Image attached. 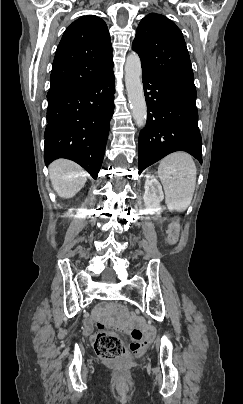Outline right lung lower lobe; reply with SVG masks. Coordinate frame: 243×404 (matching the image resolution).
<instances>
[{"label":"right lung lower lobe","mask_w":243,"mask_h":404,"mask_svg":"<svg viewBox=\"0 0 243 404\" xmlns=\"http://www.w3.org/2000/svg\"><path fill=\"white\" fill-rule=\"evenodd\" d=\"M113 70L82 87L49 96L44 160L67 158L96 179L114 111Z\"/></svg>","instance_id":"obj_1"}]
</instances>
